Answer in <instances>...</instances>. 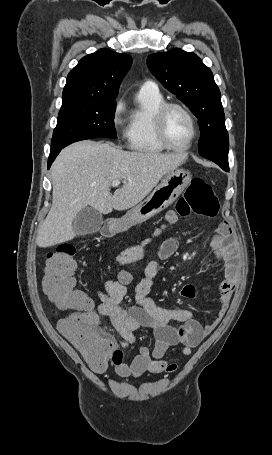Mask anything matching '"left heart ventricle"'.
Returning <instances> with one entry per match:
<instances>
[{"label":"left heart ventricle","instance_id":"obj_1","mask_svg":"<svg viewBox=\"0 0 272 455\" xmlns=\"http://www.w3.org/2000/svg\"><path fill=\"white\" fill-rule=\"evenodd\" d=\"M166 133L170 142L176 146H184L192 135L191 123L181 110H169L165 121Z\"/></svg>","mask_w":272,"mask_h":455}]
</instances>
